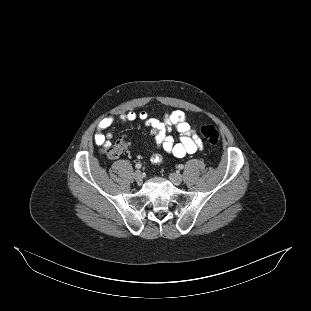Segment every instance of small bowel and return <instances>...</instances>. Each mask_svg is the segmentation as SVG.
<instances>
[{"label": "small bowel", "instance_id": "c3829d8e", "mask_svg": "<svg viewBox=\"0 0 311 311\" xmlns=\"http://www.w3.org/2000/svg\"><path fill=\"white\" fill-rule=\"evenodd\" d=\"M141 119L144 124L150 128L158 148L165 153L175 157L183 158L188 154H193L202 148V141L197 133L186 119L185 114L180 110H175L164 115L159 120L150 117L145 112H128L120 115L122 123ZM114 123L112 117L103 118L97 125V132L94 136L95 143L98 146H106L110 143L111 134L105 133ZM175 129L180 134V141L176 143L170 132ZM162 157L160 154H154L151 161L155 164L160 163Z\"/></svg>", "mask_w": 311, "mask_h": 311}]
</instances>
